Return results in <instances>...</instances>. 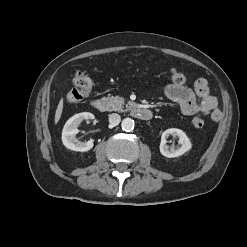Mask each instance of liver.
I'll return each mask as SVG.
<instances>
[{"mask_svg":"<svg viewBox=\"0 0 247 247\" xmlns=\"http://www.w3.org/2000/svg\"><path fill=\"white\" fill-rule=\"evenodd\" d=\"M62 111H63V99L60 100L58 106H57V109H56V112H55V124H57L61 118V115H62Z\"/></svg>","mask_w":247,"mask_h":247,"instance_id":"6515ba94","label":"liver"}]
</instances>
